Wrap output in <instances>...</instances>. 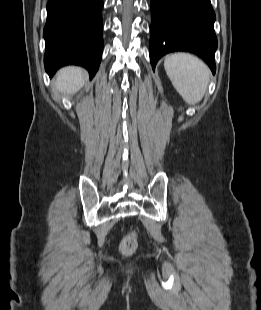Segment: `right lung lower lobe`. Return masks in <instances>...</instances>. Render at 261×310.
I'll list each match as a JSON object with an SVG mask.
<instances>
[{
	"instance_id": "98d812e1",
	"label": "right lung lower lobe",
	"mask_w": 261,
	"mask_h": 310,
	"mask_svg": "<svg viewBox=\"0 0 261 310\" xmlns=\"http://www.w3.org/2000/svg\"><path fill=\"white\" fill-rule=\"evenodd\" d=\"M102 8V0L48 1L43 35L44 65L50 76L68 64L85 67L90 78L96 74L103 50Z\"/></svg>"
}]
</instances>
